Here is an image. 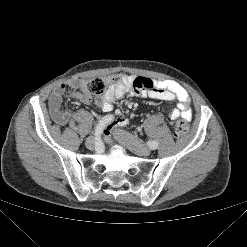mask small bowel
Wrapping results in <instances>:
<instances>
[{
  "label": "small bowel",
  "mask_w": 247,
  "mask_h": 247,
  "mask_svg": "<svg viewBox=\"0 0 247 247\" xmlns=\"http://www.w3.org/2000/svg\"><path fill=\"white\" fill-rule=\"evenodd\" d=\"M137 82L139 83L137 85ZM67 88L77 89V98L84 104L92 102L103 112H110L114 103L124 96L151 97L159 100H177V107L167 110L169 117L175 120L179 117L186 121L192 119L190 108V97L187 91L179 84L169 80H152L145 77H124L121 82H111L106 92L96 99L84 88V81L70 80L66 83L57 85L48 100L49 111L52 120L59 125L67 124L73 117L71 110H62V98ZM128 123L127 118H118V125Z\"/></svg>",
  "instance_id": "small-bowel-1"
}]
</instances>
